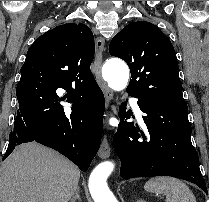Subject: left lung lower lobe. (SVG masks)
Returning <instances> with one entry per match:
<instances>
[{"label":"left lung lower lobe","mask_w":209,"mask_h":202,"mask_svg":"<svg viewBox=\"0 0 209 202\" xmlns=\"http://www.w3.org/2000/svg\"><path fill=\"white\" fill-rule=\"evenodd\" d=\"M137 104L145 113L142 117L147 132L136 128L133 122H123L124 118H129L126 114L127 103L119 107L121 123L113 137V147L121 160V177L172 176L190 181L208 194L200 172L198 154L190 138L192 129L188 121V108L141 98H138Z\"/></svg>","instance_id":"0a47b994"}]
</instances>
